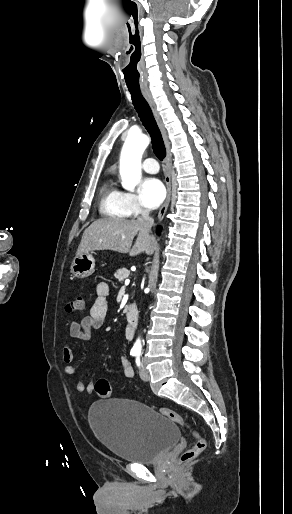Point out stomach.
Here are the masks:
<instances>
[{"label": "stomach", "instance_id": "1", "mask_svg": "<svg viewBox=\"0 0 292 514\" xmlns=\"http://www.w3.org/2000/svg\"><path fill=\"white\" fill-rule=\"evenodd\" d=\"M95 268V260L91 254H81L75 256L71 264V272L74 278H87L93 274Z\"/></svg>", "mask_w": 292, "mask_h": 514}]
</instances>
